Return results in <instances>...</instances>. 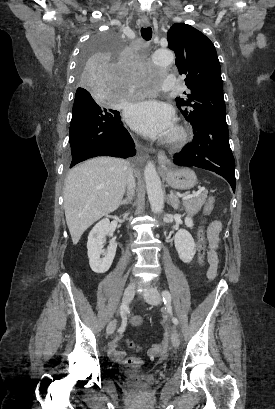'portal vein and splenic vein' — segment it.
I'll use <instances>...</instances> for the list:
<instances>
[{"instance_id": "1", "label": "portal vein and splenic vein", "mask_w": 275, "mask_h": 409, "mask_svg": "<svg viewBox=\"0 0 275 409\" xmlns=\"http://www.w3.org/2000/svg\"><path fill=\"white\" fill-rule=\"evenodd\" d=\"M201 190H205V186H201V188H199L198 192H194V194H199V192H201ZM194 194H188V196H183V200H188V198H192V196H194Z\"/></svg>"}]
</instances>
